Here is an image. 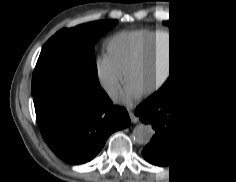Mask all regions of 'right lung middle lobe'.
Instances as JSON below:
<instances>
[{"mask_svg": "<svg viewBox=\"0 0 236 182\" xmlns=\"http://www.w3.org/2000/svg\"><path fill=\"white\" fill-rule=\"evenodd\" d=\"M117 20L96 21L62 29L43 46L32 75V94L61 85H75L96 101L102 99L94 45Z\"/></svg>", "mask_w": 236, "mask_h": 182, "instance_id": "right-lung-middle-lobe-1", "label": "right lung middle lobe"}]
</instances>
